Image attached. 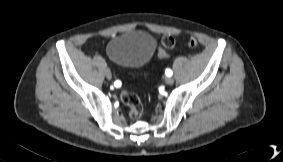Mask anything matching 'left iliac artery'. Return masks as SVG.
I'll return each mask as SVG.
<instances>
[{"label":"left iliac artery","instance_id":"1","mask_svg":"<svg viewBox=\"0 0 283 162\" xmlns=\"http://www.w3.org/2000/svg\"><path fill=\"white\" fill-rule=\"evenodd\" d=\"M165 74L168 76V77H170V76H172V70L171 69H166L165 70Z\"/></svg>","mask_w":283,"mask_h":162}]
</instances>
